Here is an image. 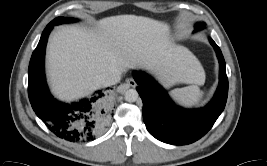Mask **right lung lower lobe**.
Segmentation results:
<instances>
[{"label":"right lung lower lobe","mask_w":267,"mask_h":166,"mask_svg":"<svg viewBox=\"0 0 267 166\" xmlns=\"http://www.w3.org/2000/svg\"><path fill=\"white\" fill-rule=\"evenodd\" d=\"M50 22L34 50L28 70V94L36 115L56 136L69 142H87L104 131L111 119L107 94L98 90L89 98L62 103L50 94L44 73L47 39L53 28Z\"/></svg>","instance_id":"obj_1"}]
</instances>
